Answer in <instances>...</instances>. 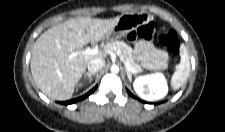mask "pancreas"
Wrapping results in <instances>:
<instances>
[{"label":"pancreas","instance_id":"1","mask_svg":"<svg viewBox=\"0 0 225 132\" xmlns=\"http://www.w3.org/2000/svg\"><path fill=\"white\" fill-rule=\"evenodd\" d=\"M105 48L108 51L116 53L122 60L127 62L135 72L141 70V66L134 60L133 50L123 41H112L106 44ZM167 67L166 63H162L159 69H165Z\"/></svg>","mask_w":225,"mask_h":132}]
</instances>
